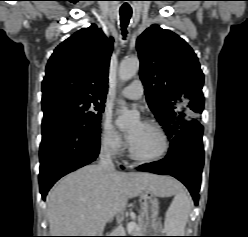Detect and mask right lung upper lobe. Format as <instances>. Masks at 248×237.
I'll use <instances>...</instances> for the list:
<instances>
[{"instance_id": "1", "label": "right lung upper lobe", "mask_w": 248, "mask_h": 237, "mask_svg": "<svg viewBox=\"0 0 248 237\" xmlns=\"http://www.w3.org/2000/svg\"><path fill=\"white\" fill-rule=\"evenodd\" d=\"M112 41L91 25L56 47L42 82V102L61 96L105 101Z\"/></svg>"}]
</instances>
